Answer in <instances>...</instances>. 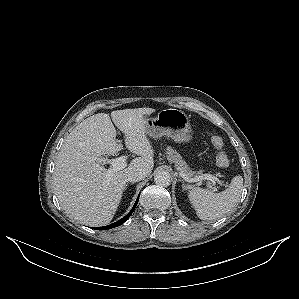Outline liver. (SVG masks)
Returning a JSON list of instances; mask_svg holds the SVG:
<instances>
[{
  "label": "liver",
  "instance_id": "1",
  "mask_svg": "<svg viewBox=\"0 0 299 299\" xmlns=\"http://www.w3.org/2000/svg\"><path fill=\"white\" fill-rule=\"evenodd\" d=\"M153 108L111 112L117 128L125 134L128 150L140 156L128 167L108 173L101 155H115L122 145L108 114L98 113L83 120L66 137L55 163L53 185L65 213L88 226L108 224L114 217L128 172L140 167L151 173L154 150L145 131L144 115Z\"/></svg>",
  "mask_w": 299,
  "mask_h": 299
}]
</instances>
